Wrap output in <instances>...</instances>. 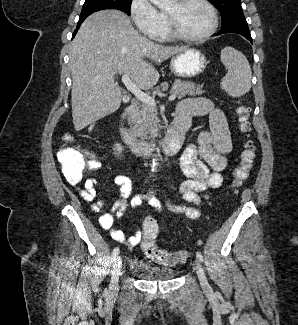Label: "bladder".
<instances>
[{"instance_id":"1","label":"bladder","mask_w":298,"mask_h":325,"mask_svg":"<svg viewBox=\"0 0 298 325\" xmlns=\"http://www.w3.org/2000/svg\"><path fill=\"white\" fill-rule=\"evenodd\" d=\"M128 270L134 277L147 282L169 281L175 276L173 269L153 265L139 257H134L130 260Z\"/></svg>"}]
</instances>
